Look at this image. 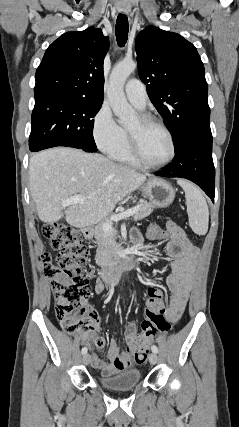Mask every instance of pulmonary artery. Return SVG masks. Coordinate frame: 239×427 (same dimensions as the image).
I'll list each match as a JSON object with an SVG mask.
<instances>
[{
	"label": "pulmonary artery",
	"mask_w": 239,
	"mask_h": 427,
	"mask_svg": "<svg viewBox=\"0 0 239 427\" xmlns=\"http://www.w3.org/2000/svg\"><path fill=\"white\" fill-rule=\"evenodd\" d=\"M125 95L130 103L138 109L146 107L148 96L143 83L137 79H132L125 85Z\"/></svg>",
	"instance_id": "pulmonary-artery-1"
}]
</instances>
